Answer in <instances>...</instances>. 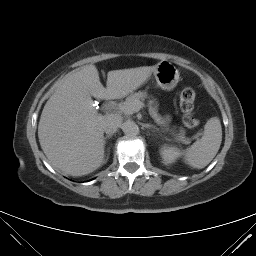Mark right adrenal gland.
I'll return each instance as SVG.
<instances>
[{"instance_id":"1","label":"right adrenal gland","mask_w":256,"mask_h":256,"mask_svg":"<svg viewBox=\"0 0 256 256\" xmlns=\"http://www.w3.org/2000/svg\"><path fill=\"white\" fill-rule=\"evenodd\" d=\"M112 135H113V133L107 134V135L104 137V143H106V139L111 138Z\"/></svg>"}]
</instances>
